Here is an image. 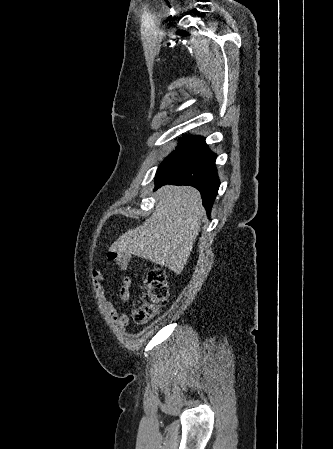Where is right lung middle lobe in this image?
Wrapping results in <instances>:
<instances>
[{
    "mask_svg": "<svg viewBox=\"0 0 333 449\" xmlns=\"http://www.w3.org/2000/svg\"><path fill=\"white\" fill-rule=\"evenodd\" d=\"M191 139H193V138L187 137L186 139H184V140L181 142V144L179 145V147L183 146L184 144H186L187 142H189ZM179 147H178V148H179ZM178 148H177V149H178ZM177 149H176V150H177ZM173 152H174V151H173Z\"/></svg>",
    "mask_w": 333,
    "mask_h": 449,
    "instance_id": "1",
    "label": "right lung middle lobe"
}]
</instances>
